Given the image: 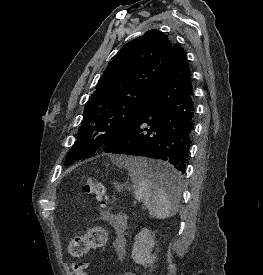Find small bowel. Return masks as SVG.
<instances>
[{
  "label": "small bowel",
  "instance_id": "1",
  "mask_svg": "<svg viewBox=\"0 0 263 275\" xmlns=\"http://www.w3.org/2000/svg\"><path fill=\"white\" fill-rule=\"evenodd\" d=\"M100 219L111 226L114 231L115 239L112 247L115 249L118 258L123 260L126 256L125 233L128 229V220L123 215H116L110 210H103Z\"/></svg>",
  "mask_w": 263,
  "mask_h": 275
}]
</instances>
